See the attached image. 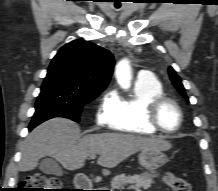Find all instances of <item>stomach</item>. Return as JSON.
<instances>
[{
	"instance_id": "0dacf381",
	"label": "stomach",
	"mask_w": 218,
	"mask_h": 191,
	"mask_svg": "<svg viewBox=\"0 0 218 191\" xmlns=\"http://www.w3.org/2000/svg\"><path fill=\"white\" fill-rule=\"evenodd\" d=\"M139 164L150 172H154L167 161V156L160 150H142L138 156Z\"/></svg>"
}]
</instances>
